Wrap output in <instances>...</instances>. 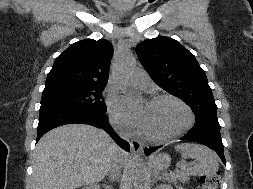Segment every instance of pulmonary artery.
<instances>
[{
  "label": "pulmonary artery",
  "instance_id": "pulmonary-artery-1",
  "mask_svg": "<svg viewBox=\"0 0 253 189\" xmlns=\"http://www.w3.org/2000/svg\"><path fill=\"white\" fill-rule=\"evenodd\" d=\"M133 83L138 87L145 88L150 85V79L147 74L140 72L134 75Z\"/></svg>",
  "mask_w": 253,
  "mask_h": 189
}]
</instances>
